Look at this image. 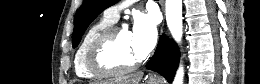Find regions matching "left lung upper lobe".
<instances>
[{
	"instance_id": "obj_1",
	"label": "left lung upper lobe",
	"mask_w": 260,
	"mask_h": 84,
	"mask_svg": "<svg viewBox=\"0 0 260 84\" xmlns=\"http://www.w3.org/2000/svg\"><path fill=\"white\" fill-rule=\"evenodd\" d=\"M119 0H84L82 7L76 14L73 32V46L77 47L82 35L90 23L106 8Z\"/></svg>"
}]
</instances>
